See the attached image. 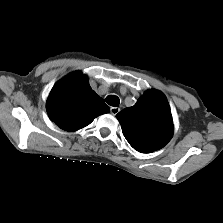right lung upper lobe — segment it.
<instances>
[{"label": "right lung upper lobe", "mask_w": 223, "mask_h": 223, "mask_svg": "<svg viewBox=\"0 0 223 223\" xmlns=\"http://www.w3.org/2000/svg\"><path fill=\"white\" fill-rule=\"evenodd\" d=\"M50 119L61 129L76 131L89 125L97 116L109 112L89 86L87 78L74 72L57 82L47 99Z\"/></svg>", "instance_id": "1"}]
</instances>
